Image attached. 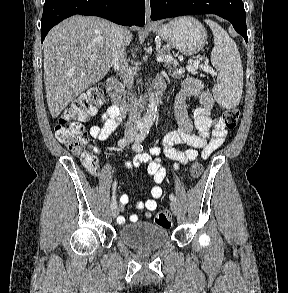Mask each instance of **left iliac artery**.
I'll list each match as a JSON object with an SVG mask.
<instances>
[{"instance_id": "44dca946", "label": "left iliac artery", "mask_w": 288, "mask_h": 293, "mask_svg": "<svg viewBox=\"0 0 288 293\" xmlns=\"http://www.w3.org/2000/svg\"><path fill=\"white\" fill-rule=\"evenodd\" d=\"M147 134H148V130H146V129L142 130L138 134V136L136 138V141L133 144L134 151L141 152L143 150V146H142L141 143L145 139V137H146ZM169 198H170L171 201H174V202H176V200H177L176 197L173 194H170Z\"/></svg>"}]
</instances>
